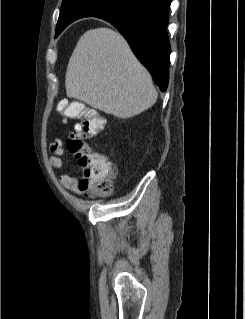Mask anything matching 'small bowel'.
Wrapping results in <instances>:
<instances>
[{
	"mask_svg": "<svg viewBox=\"0 0 245 319\" xmlns=\"http://www.w3.org/2000/svg\"><path fill=\"white\" fill-rule=\"evenodd\" d=\"M49 149L52 153V156L50 157V165L54 168L63 169L64 168V162L62 159V156L64 154L63 141L60 138L55 139L49 145ZM60 182L65 189L70 190L75 194H81V191L78 186V180L75 177L69 174H62L60 176Z\"/></svg>",
	"mask_w": 245,
	"mask_h": 319,
	"instance_id": "small-bowel-1",
	"label": "small bowel"
}]
</instances>
